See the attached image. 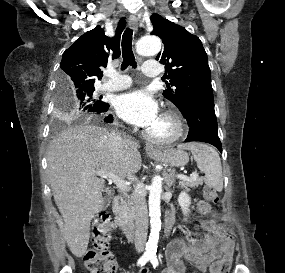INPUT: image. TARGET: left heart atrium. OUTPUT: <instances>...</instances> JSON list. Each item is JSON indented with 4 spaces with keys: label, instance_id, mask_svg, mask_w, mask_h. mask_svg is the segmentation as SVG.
I'll return each instance as SVG.
<instances>
[{
    "label": "left heart atrium",
    "instance_id": "39dd6f15",
    "mask_svg": "<svg viewBox=\"0 0 285 273\" xmlns=\"http://www.w3.org/2000/svg\"><path fill=\"white\" fill-rule=\"evenodd\" d=\"M115 110L126 122L148 130L160 118L157 102L143 90L119 96L115 102Z\"/></svg>",
    "mask_w": 285,
    "mask_h": 273
}]
</instances>
